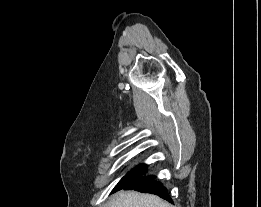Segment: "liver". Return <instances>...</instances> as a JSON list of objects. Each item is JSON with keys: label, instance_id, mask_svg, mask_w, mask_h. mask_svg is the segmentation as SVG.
<instances>
[{"label": "liver", "instance_id": "liver-1", "mask_svg": "<svg viewBox=\"0 0 261 207\" xmlns=\"http://www.w3.org/2000/svg\"><path fill=\"white\" fill-rule=\"evenodd\" d=\"M105 207H173L163 199L152 194L135 191H122Z\"/></svg>", "mask_w": 261, "mask_h": 207}]
</instances>
